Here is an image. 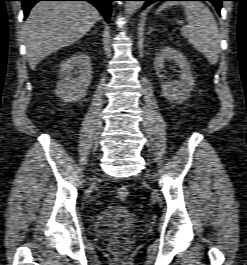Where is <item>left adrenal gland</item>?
Masks as SVG:
<instances>
[{
	"label": "left adrenal gland",
	"instance_id": "left-adrenal-gland-1",
	"mask_svg": "<svg viewBox=\"0 0 247 265\" xmlns=\"http://www.w3.org/2000/svg\"><path fill=\"white\" fill-rule=\"evenodd\" d=\"M152 31H154V29L150 27L149 31H148V34H150Z\"/></svg>",
	"mask_w": 247,
	"mask_h": 265
}]
</instances>
